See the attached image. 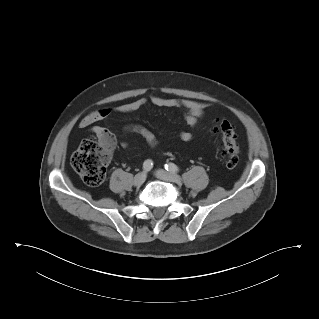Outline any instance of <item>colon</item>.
I'll return each mask as SVG.
<instances>
[{
  "label": "colon",
  "mask_w": 319,
  "mask_h": 319,
  "mask_svg": "<svg viewBox=\"0 0 319 319\" xmlns=\"http://www.w3.org/2000/svg\"><path fill=\"white\" fill-rule=\"evenodd\" d=\"M215 130L220 136V154L228 168H234L238 163L239 144L233 125L226 120H218ZM114 147L112 136L102 139H86L71 158L73 169L89 186L100 185L106 173L111 153Z\"/></svg>",
  "instance_id": "1"
}]
</instances>
